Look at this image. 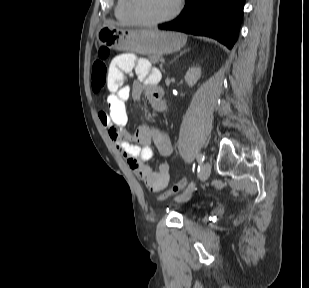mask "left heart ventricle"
Wrapping results in <instances>:
<instances>
[{"label":"left heart ventricle","mask_w":309,"mask_h":288,"mask_svg":"<svg viewBox=\"0 0 309 288\" xmlns=\"http://www.w3.org/2000/svg\"><path fill=\"white\" fill-rule=\"evenodd\" d=\"M177 0H135L137 14L146 20L162 18L176 6Z\"/></svg>","instance_id":"obj_1"}]
</instances>
